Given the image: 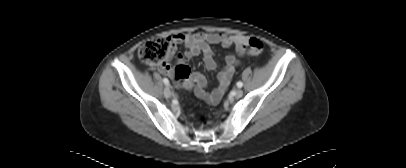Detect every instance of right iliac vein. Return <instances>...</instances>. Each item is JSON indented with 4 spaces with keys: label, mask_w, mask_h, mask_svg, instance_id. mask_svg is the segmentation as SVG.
I'll return each mask as SVG.
<instances>
[{
    "label": "right iliac vein",
    "mask_w": 406,
    "mask_h": 168,
    "mask_svg": "<svg viewBox=\"0 0 406 168\" xmlns=\"http://www.w3.org/2000/svg\"><path fill=\"white\" fill-rule=\"evenodd\" d=\"M164 96H165V98L171 97V92H170L169 88H167V87L164 89Z\"/></svg>",
    "instance_id": "right-iliac-vein-1"
}]
</instances>
